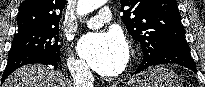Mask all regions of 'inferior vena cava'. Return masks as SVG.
<instances>
[{"label": "inferior vena cava", "mask_w": 205, "mask_h": 87, "mask_svg": "<svg viewBox=\"0 0 205 87\" xmlns=\"http://www.w3.org/2000/svg\"><path fill=\"white\" fill-rule=\"evenodd\" d=\"M71 75L74 87H93L94 77L85 63L74 65Z\"/></svg>", "instance_id": "1"}]
</instances>
